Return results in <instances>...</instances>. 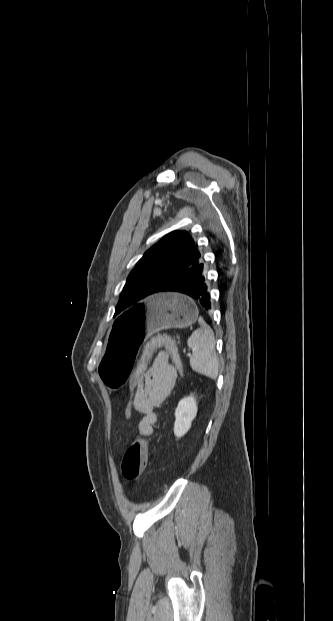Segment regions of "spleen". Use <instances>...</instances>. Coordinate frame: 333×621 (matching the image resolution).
I'll list each match as a JSON object with an SVG mask.
<instances>
[{"label":"spleen","mask_w":333,"mask_h":621,"mask_svg":"<svg viewBox=\"0 0 333 621\" xmlns=\"http://www.w3.org/2000/svg\"><path fill=\"white\" fill-rule=\"evenodd\" d=\"M200 328L188 338L187 345L193 353L190 357V366L193 371L212 379L218 377L219 361L215 350V336L213 330L202 317L198 320Z\"/></svg>","instance_id":"3e777b00"}]
</instances>
